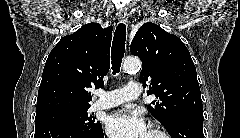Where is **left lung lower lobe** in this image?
I'll return each instance as SVG.
<instances>
[{
  "label": "left lung lower lobe",
  "mask_w": 240,
  "mask_h": 138,
  "mask_svg": "<svg viewBox=\"0 0 240 138\" xmlns=\"http://www.w3.org/2000/svg\"><path fill=\"white\" fill-rule=\"evenodd\" d=\"M203 111H194L177 117L167 128L172 138H204Z\"/></svg>",
  "instance_id": "1"
}]
</instances>
